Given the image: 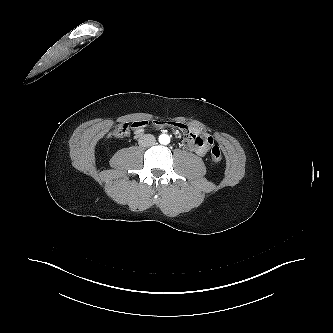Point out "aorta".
<instances>
[{
	"instance_id": "762f6f07",
	"label": "aorta",
	"mask_w": 333,
	"mask_h": 333,
	"mask_svg": "<svg viewBox=\"0 0 333 333\" xmlns=\"http://www.w3.org/2000/svg\"><path fill=\"white\" fill-rule=\"evenodd\" d=\"M159 142L161 144H164V145L169 144L170 143V137H169V135H167V134H161L159 136Z\"/></svg>"
}]
</instances>
